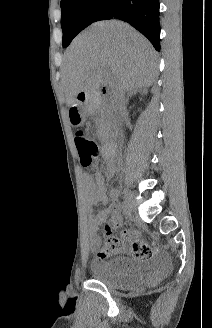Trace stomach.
<instances>
[{"instance_id": "0dacf381", "label": "stomach", "mask_w": 212, "mask_h": 328, "mask_svg": "<svg viewBox=\"0 0 212 328\" xmlns=\"http://www.w3.org/2000/svg\"><path fill=\"white\" fill-rule=\"evenodd\" d=\"M67 119L71 121L72 127H77L78 124H84V117L80 113L79 105H70L67 110Z\"/></svg>"}]
</instances>
